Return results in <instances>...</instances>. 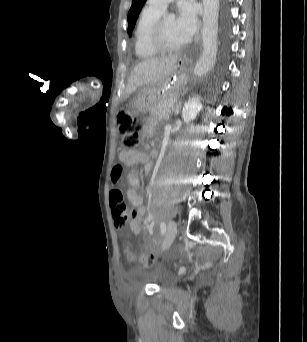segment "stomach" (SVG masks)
<instances>
[{
    "mask_svg": "<svg viewBox=\"0 0 307 342\" xmlns=\"http://www.w3.org/2000/svg\"><path fill=\"white\" fill-rule=\"evenodd\" d=\"M190 60L179 57L168 77L159 85L139 90L130 101L133 113H144L154 108L158 101L169 94L179 96L188 81Z\"/></svg>",
    "mask_w": 307,
    "mask_h": 342,
    "instance_id": "stomach-1",
    "label": "stomach"
}]
</instances>
